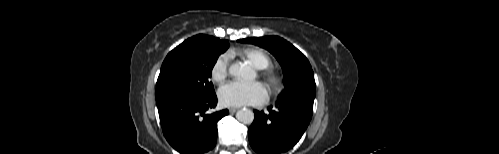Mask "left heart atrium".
<instances>
[{
    "mask_svg": "<svg viewBox=\"0 0 499 154\" xmlns=\"http://www.w3.org/2000/svg\"><path fill=\"white\" fill-rule=\"evenodd\" d=\"M223 106L261 105L267 101L266 88L260 82L233 81L223 85L218 91Z\"/></svg>",
    "mask_w": 499,
    "mask_h": 154,
    "instance_id": "left-heart-atrium-1",
    "label": "left heart atrium"
}]
</instances>
